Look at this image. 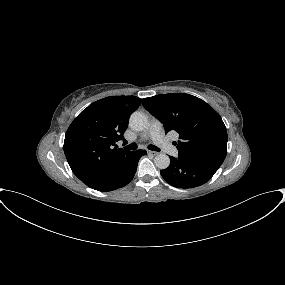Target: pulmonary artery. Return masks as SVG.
I'll return each instance as SVG.
<instances>
[{
  "label": "pulmonary artery",
  "mask_w": 285,
  "mask_h": 285,
  "mask_svg": "<svg viewBox=\"0 0 285 285\" xmlns=\"http://www.w3.org/2000/svg\"><path fill=\"white\" fill-rule=\"evenodd\" d=\"M152 139L156 145L166 153L177 156L178 150L162 134V125L159 121L153 120L142 135V140Z\"/></svg>",
  "instance_id": "e3ab8cb5"
}]
</instances>
